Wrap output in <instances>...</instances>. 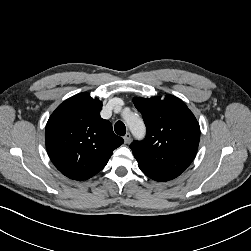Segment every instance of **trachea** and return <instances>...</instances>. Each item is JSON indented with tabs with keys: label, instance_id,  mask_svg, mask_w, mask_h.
<instances>
[{
	"label": "trachea",
	"instance_id": "trachea-1",
	"mask_svg": "<svg viewBox=\"0 0 251 251\" xmlns=\"http://www.w3.org/2000/svg\"><path fill=\"white\" fill-rule=\"evenodd\" d=\"M115 133L124 136L126 133L125 124L122 121H117L114 126Z\"/></svg>",
	"mask_w": 251,
	"mask_h": 251
}]
</instances>
